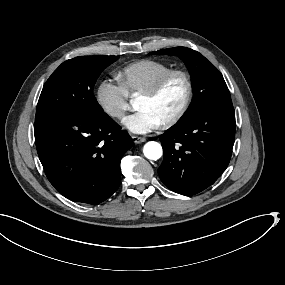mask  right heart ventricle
<instances>
[{
    "label": "right heart ventricle",
    "mask_w": 285,
    "mask_h": 285,
    "mask_svg": "<svg viewBox=\"0 0 285 285\" xmlns=\"http://www.w3.org/2000/svg\"><path fill=\"white\" fill-rule=\"evenodd\" d=\"M131 76L125 89L133 98L140 97L154 86L163 76L172 72L168 65L156 60H143L131 68Z\"/></svg>",
    "instance_id": "e07e8e85"
}]
</instances>
